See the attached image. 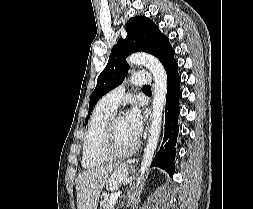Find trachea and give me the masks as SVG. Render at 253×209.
I'll list each match as a JSON object with an SVG mask.
<instances>
[{"label":"trachea","instance_id":"trachea-1","mask_svg":"<svg viewBox=\"0 0 253 209\" xmlns=\"http://www.w3.org/2000/svg\"><path fill=\"white\" fill-rule=\"evenodd\" d=\"M144 88H150L149 86H144Z\"/></svg>","mask_w":253,"mask_h":209}]
</instances>
